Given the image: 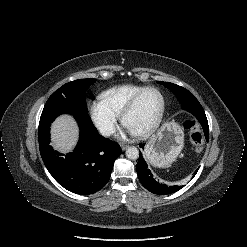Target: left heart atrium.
Returning a JSON list of instances; mask_svg holds the SVG:
<instances>
[{"label":"left heart atrium","instance_id":"39dd6f15","mask_svg":"<svg viewBox=\"0 0 247 247\" xmlns=\"http://www.w3.org/2000/svg\"><path fill=\"white\" fill-rule=\"evenodd\" d=\"M127 130L129 131V132H132L131 130H129L128 128H127Z\"/></svg>","mask_w":247,"mask_h":247}]
</instances>
